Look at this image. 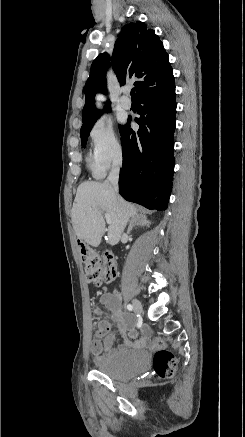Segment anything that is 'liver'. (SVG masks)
<instances>
[{
    "instance_id": "1",
    "label": "liver",
    "mask_w": 245,
    "mask_h": 437,
    "mask_svg": "<svg viewBox=\"0 0 245 437\" xmlns=\"http://www.w3.org/2000/svg\"><path fill=\"white\" fill-rule=\"evenodd\" d=\"M103 212L111 217L107 243L116 245L129 219L138 215L136 207L115 194L108 181L82 183L77 189L71 219L77 237L93 247L99 246L106 231Z\"/></svg>"
}]
</instances>
